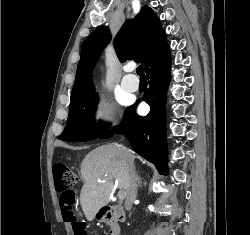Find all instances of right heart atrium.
<instances>
[{
    "label": "right heart atrium",
    "mask_w": 250,
    "mask_h": 235,
    "mask_svg": "<svg viewBox=\"0 0 250 235\" xmlns=\"http://www.w3.org/2000/svg\"><path fill=\"white\" fill-rule=\"evenodd\" d=\"M94 123L100 126L114 127L117 124V120L111 105L105 101L101 100L93 115Z\"/></svg>",
    "instance_id": "d8ad5b80"
}]
</instances>
